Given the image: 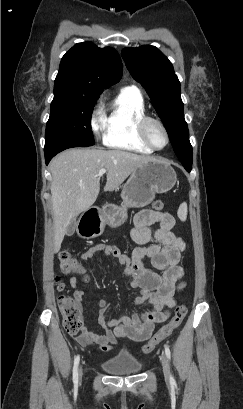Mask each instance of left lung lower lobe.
<instances>
[{"label": "left lung lower lobe", "mask_w": 243, "mask_h": 409, "mask_svg": "<svg viewBox=\"0 0 243 409\" xmlns=\"http://www.w3.org/2000/svg\"><path fill=\"white\" fill-rule=\"evenodd\" d=\"M183 166L186 169V171H188V172L191 171L192 165H183Z\"/></svg>", "instance_id": "1"}]
</instances>
